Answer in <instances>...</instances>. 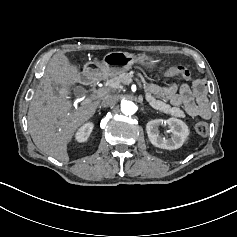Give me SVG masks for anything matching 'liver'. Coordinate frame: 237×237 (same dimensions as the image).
Returning <instances> with one entry per match:
<instances>
[{"label":"liver","instance_id":"obj_1","mask_svg":"<svg viewBox=\"0 0 237 237\" xmlns=\"http://www.w3.org/2000/svg\"><path fill=\"white\" fill-rule=\"evenodd\" d=\"M79 67L65 54L50 60L46 75L40 80L43 93L29 104L28 126L31 138L42 154L63 163L69 161L67 145L76 131L95 114L99 100L73 110L71 102L53 95L52 84L70 88L78 83Z\"/></svg>","mask_w":237,"mask_h":237}]
</instances>
